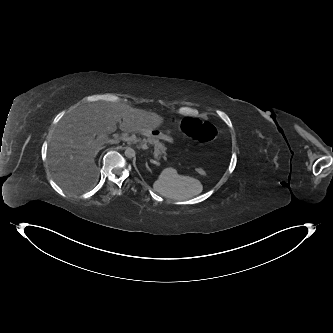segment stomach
<instances>
[{
	"mask_svg": "<svg viewBox=\"0 0 333 333\" xmlns=\"http://www.w3.org/2000/svg\"><path fill=\"white\" fill-rule=\"evenodd\" d=\"M148 135L151 136V137H156V138H160V139H166L167 138L163 133L158 132L157 130L149 131Z\"/></svg>",
	"mask_w": 333,
	"mask_h": 333,
	"instance_id": "stomach-1",
	"label": "stomach"
}]
</instances>
